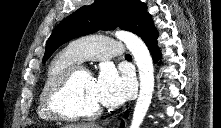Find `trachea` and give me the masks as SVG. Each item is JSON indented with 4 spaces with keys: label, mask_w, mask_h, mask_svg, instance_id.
<instances>
[{
    "label": "trachea",
    "mask_w": 221,
    "mask_h": 128,
    "mask_svg": "<svg viewBox=\"0 0 221 128\" xmlns=\"http://www.w3.org/2000/svg\"><path fill=\"white\" fill-rule=\"evenodd\" d=\"M131 56H130V54H126V58H130Z\"/></svg>",
    "instance_id": "obj_1"
}]
</instances>
